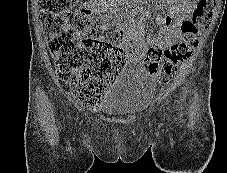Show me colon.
<instances>
[{
    "label": "colon",
    "instance_id": "obj_1",
    "mask_svg": "<svg viewBox=\"0 0 227 173\" xmlns=\"http://www.w3.org/2000/svg\"><path fill=\"white\" fill-rule=\"evenodd\" d=\"M75 0H40L41 19L56 72L70 82L74 98L82 105L96 107L126 61V54L108 40L114 19L101 18ZM215 0H199L191 20L180 26V37L172 45L151 46L144 56L146 69L162 84L168 83L178 66L198 45L201 33L213 17ZM130 54L140 55L138 45Z\"/></svg>",
    "mask_w": 227,
    "mask_h": 173
}]
</instances>
